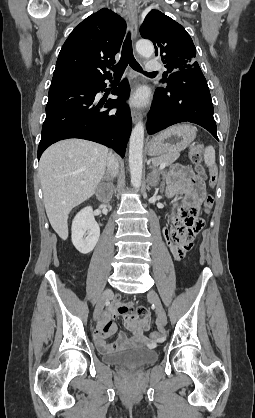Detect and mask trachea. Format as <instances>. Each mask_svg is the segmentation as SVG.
<instances>
[{"label": "trachea", "mask_w": 255, "mask_h": 418, "mask_svg": "<svg viewBox=\"0 0 255 418\" xmlns=\"http://www.w3.org/2000/svg\"><path fill=\"white\" fill-rule=\"evenodd\" d=\"M127 65H129L135 71L143 72L142 67L134 58L130 33H128L123 43L120 61L112 68L114 72V76L116 77L122 76ZM155 73L156 72H151V73L144 72V74H155Z\"/></svg>", "instance_id": "obj_1"}]
</instances>
